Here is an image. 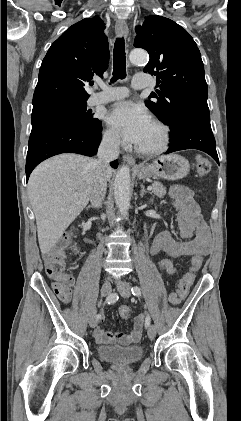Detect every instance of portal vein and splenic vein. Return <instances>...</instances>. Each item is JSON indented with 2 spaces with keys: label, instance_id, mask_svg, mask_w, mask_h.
I'll return each instance as SVG.
<instances>
[{
  "label": "portal vein and splenic vein",
  "instance_id": "18ae733b",
  "mask_svg": "<svg viewBox=\"0 0 241 421\" xmlns=\"http://www.w3.org/2000/svg\"><path fill=\"white\" fill-rule=\"evenodd\" d=\"M147 189L150 191V190L153 189V187L152 186H148Z\"/></svg>",
  "mask_w": 241,
  "mask_h": 421
}]
</instances>
